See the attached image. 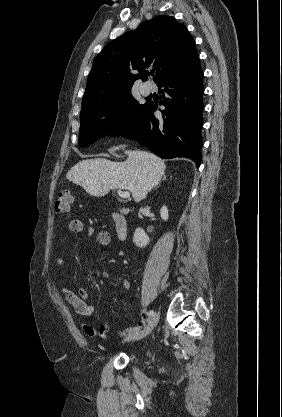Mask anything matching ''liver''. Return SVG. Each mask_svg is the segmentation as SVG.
<instances>
[{"label":"liver","mask_w":282,"mask_h":417,"mask_svg":"<svg viewBox=\"0 0 282 417\" xmlns=\"http://www.w3.org/2000/svg\"><path fill=\"white\" fill-rule=\"evenodd\" d=\"M127 160L113 162L107 158H86L74 164L66 174L68 180L80 184L92 196H104L113 188L130 190L135 202L159 184L166 164L146 150H125Z\"/></svg>","instance_id":"liver-1"}]
</instances>
